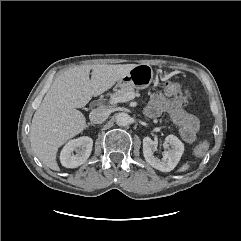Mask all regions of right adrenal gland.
Wrapping results in <instances>:
<instances>
[{"mask_svg": "<svg viewBox=\"0 0 241 241\" xmlns=\"http://www.w3.org/2000/svg\"><path fill=\"white\" fill-rule=\"evenodd\" d=\"M89 126H94V124H93V123H88V124L86 125V127H89Z\"/></svg>", "mask_w": 241, "mask_h": 241, "instance_id": "right-adrenal-gland-1", "label": "right adrenal gland"}]
</instances>
